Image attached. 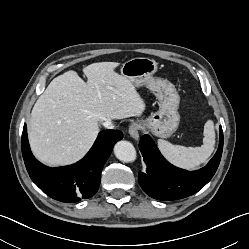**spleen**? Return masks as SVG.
I'll return each mask as SVG.
<instances>
[{
	"label": "spleen",
	"mask_w": 249,
	"mask_h": 249,
	"mask_svg": "<svg viewBox=\"0 0 249 249\" xmlns=\"http://www.w3.org/2000/svg\"><path fill=\"white\" fill-rule=\"evenodd\" d=\"M203 134V145L200 147L173 145L163 139H158L157 144L161 153L169 162L177 167L193 170L206 162L214 150L215 131L213 121L208 120L205 123Z\"/></svg>",
	"instance_id": "obj_1"
}]
</instances>
